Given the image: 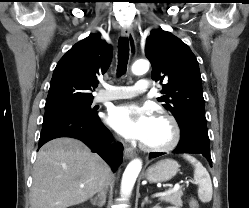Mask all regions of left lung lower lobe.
<instances>
[{
	"label": "left lung lower lobe",
	"mask_w": 249,
	"mask_h": 208,
	"mask_svg": "<svg viewBox=\"0 0 249 208\" xmlns=\"http://www.w3.org/2000/svg\"><path fill=\"white\" fill-rule=\"evenodd\" d=\"M180 141L173 153H200L212 166L209 137L206 120L196 117L186 119L179 124ZM163 153H150V158H156Z\"/></svg>",
	"instance_id": "obj_1"
}]
</instances>
